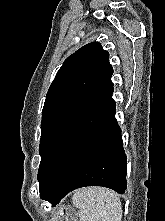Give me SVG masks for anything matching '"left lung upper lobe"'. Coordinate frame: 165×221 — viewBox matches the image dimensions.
<instances>
[{
    "label": "left lung upper lobe",
    "instance_id": "5c2ea615",
    "mask_svg": "<svg viewBox=\"0 0 165 221\" xmlns=\"http://www.w3.org/2000/svg\"><path fill=\"white\" fill-rule=\"evenodd\" d=\"M112 74L109 54L98 42L81 47L64 61L42 110L38 179L61 138L113 87Z\"/></svg>",
    "mask_w": 165,
    "mask_h": 221
}]
</instances>
